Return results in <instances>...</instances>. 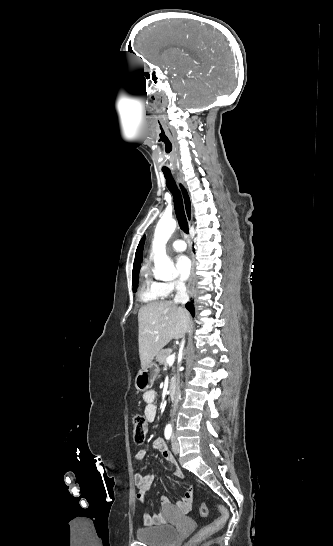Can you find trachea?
<instances>
[{"label": "trachea", "mask_w": 333, "mask_h": 546, "mask_svg": "<svg viewBox=\"0 0 333 546\" xmlns=\"http://www.w3.org/2000/svg\"><path fill=\"white\" fill-rule=\"evenodd\" d=\"M164 176L166 179V185L174 198L175 214H176L179 226L183 232L188 234L189 227H188V222H187V218L184 211L183 199H182L180 190L178 189L171 173L164 172Z\"/></svg>", "instance_id": "trachea-1"}]
</instances>
